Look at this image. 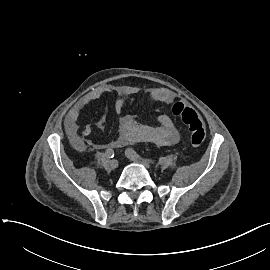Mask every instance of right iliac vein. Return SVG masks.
Returning <instances> with one entry per match:
<instances>
[{"instance_id": "obj_1", "label": "right iliac vein", "mask_w": 270, "mask_h": 270, "mask_svg": "<svg viewBox=\"0 0 270 270\" xmlns=\"http://www.w3.org/2000/svg\"><path fill=\"white\" fill-rule=\"evenodd\" d=\"M109 165H110V167L112 168V169H116L117 167H118V165H119V163H118V161L117 160H111L110 162H109Z\"/></svg>"}]
</instances>
